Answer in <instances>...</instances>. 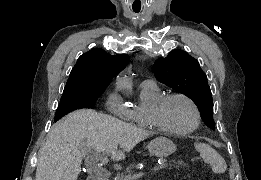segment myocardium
I'll return each mask as SVG.
<instances>
[{"label":"myocardium","mask_w":261,"mask_h":180,"mask_svg":"<svg viewBox=\"0 0 261 180\" xmlns=\"http://www.w3.org/2000/svg\"><path fill=\"white\" fill-rule=\"evenodd\" d=\"M174 99H180L190 105L194 112L193 124L186 130L181 132H172L164 128L162 123L155 117L158 110L167 105L170 101ZM202 119V114L197 103L188 95L184 93H169L163 95L156 104L141 112L140 114V124L142 127L150 134V136H162L167 138H183L191 133H193L200 125Z\"/></svg>","instance_id":"1"}]
</instances>
